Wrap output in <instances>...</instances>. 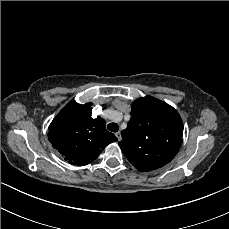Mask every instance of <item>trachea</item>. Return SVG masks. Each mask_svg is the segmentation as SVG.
Here are the masks:
<instances>
[{
	"instance_id": "1",
	"label": "trachea",
	"mask_w": 229,
	"mask_h": 229,
	"mask_svg": "<svg viewBox=\"0 0 229 229\" xmlns=\"http://www.w3.org/2000/svg\"><path fill=\"white\" fill-rule=\"evenodd\" d=\"M118 125L116 123H109L107 125V129L111 132H117L118 131Z\"/></svg>"
}]
</instances>
